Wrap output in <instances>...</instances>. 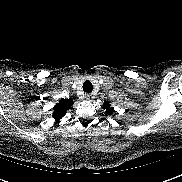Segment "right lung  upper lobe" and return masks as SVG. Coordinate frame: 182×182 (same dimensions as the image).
Masks as SVG:
<instances>
[{
  "label": "right lung upper lobe",
  "instance_id": "right-lung-upper-lobe-1",
  "mask_svg": "<svg viewBox=\"0 0 182 182\" xmlns=\"http://www.w3.org/2000/svg\"><path fill=\"white\" fill-rule=\"evenodd\" d=\"M73 105L72 99H62L53 107V117L58 122L66 113V111Z\"/></svg>",
  "mask_w": 182,
  "mask_h": 182
}]
</instances>
